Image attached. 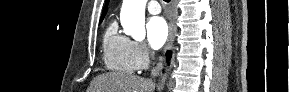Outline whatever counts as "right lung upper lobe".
<instances>
[{
  "label": "right lung upper lobe",
  "instance_id": "obj_1",
  "mask_svg": "<svg viewBox=\"0 0 289 92\" xmlns=\"http://www.w3.org/2000/svg\"><path fill=\"white\" fill-rule=\"evenodd\" d=\"M108 2H109V0H106V4H108ZM106 11H107V7H105V8L103 9V15L101 16L100 22L103 20L104 15L106 14Z\"/></svg>",
  "mask_w": 289,
  "mask_h": 92
}]
</instances>
